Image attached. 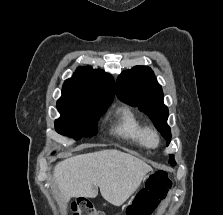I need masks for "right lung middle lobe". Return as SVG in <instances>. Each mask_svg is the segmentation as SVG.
<instances>
[{"mask_svg":"<svg viewBox=\"0 0 223 215\" xmlns=\"http://www.w3.org/2000/svg\"><path fill=\"white\" fill-rule=\"evenodd\" d=\"M107 110L93 107H58L61 117L55 121V129L59 134L78 140L97 134L96 121Z\"/></svg>","mask_w":223,"mask_h":215,"instance_id":"1","label":"right lung middle lobe"}]
</instances>
